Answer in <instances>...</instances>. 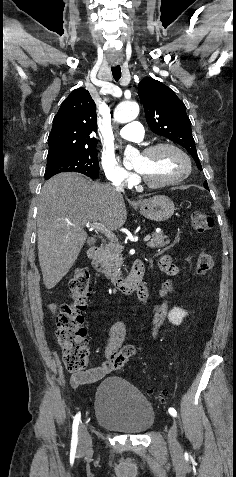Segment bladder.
<instances>
[{
	"mask_svg": "<svg viewBox=\"0 0 236 477\" xmlns=\"http://www.w3.org/2000/svg\"><path fill=\"white\" fill-rule=\"evenodd\" d=\"M94 403L96 422L123 434H142L155 423V410L149 400L120 377L104 379Z\"/></svg>",
	"mask_w": 236,
	"mask_h": 477,
	"instance_id": "obj_1",
	"label": "bladder"
}]
</instances>
